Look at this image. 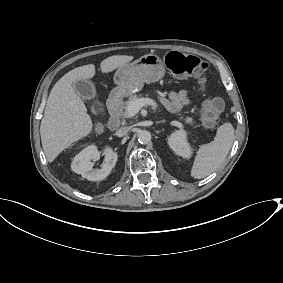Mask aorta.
I'll return each instance as SVG.
<instances>
[{
    "label": "aorta",
    "instance_id": "obj_1",
    "mask_svg": "<svg viewBox=\"0 0 283 283\" xmlns=\"http://www.w3.org/2000/svg\"><path fill=\"white\" fill-rule=\"evenodd\" d=\"M138 141L141 144H147L151 141V133L147 130H142L138 133Z\"/></svg>",
    "mask_w": 283,
    "mask_h": 283
}]
</instances>
